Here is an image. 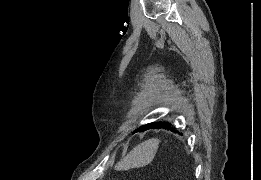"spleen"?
<instances>
[{
  "mask_svg": "<svg viewBox=\"0 0 261 180\" xmlns=\"http://www.w3.org/2000/svg\"><path fill=\"white\" fill-rule=\"evenodd\" d=\"M159 144L160 140L158 138H151V140H145L142 144H138L121 162L116 164L115 170L120 172V170H131V168L148 166L154 160Z\"/></svg>",
  "mask_w": 261,
  "mask_h": 180,
  "instance_id": "obj_1",
  "label": "spleen"
}]
</instances>
